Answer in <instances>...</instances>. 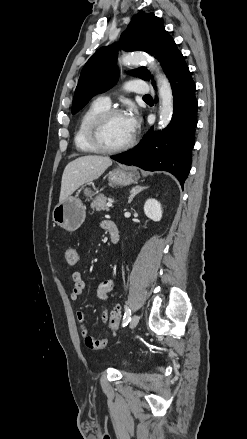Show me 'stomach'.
Returning a JSON list of instances; mask_svg holds the SVG:
<instances>
[{
  "mask_svg": "<svg viewBox=\"0 0 247 439\" xmlns=\"http://www.w3.org/2000/svg\"><path fill=\"white\" fill-rule=\"evenodd\" d=\"M108 182L112 185L126 186L136 183L139 175L131 168H116L107 174ZM85 195H91L89 189H85ZM86 217V208L77 197L69 196L63 202H59L53 211V221L67 231L77 230Z\"/></svg>",
  "mask_w": 247,
  "mask_h": 439,
  "instance_id": "stomach-1",
  "label": "stomach"
}]
</instances>
